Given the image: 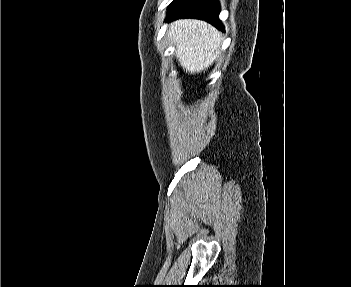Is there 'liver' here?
I'll use <instances>...</instances> for the list:
<instances>
[{
    "label": "liver",
    "instance_id": "obj_1",
    "mask_svg": "<svg viewBox=\"0 0 351 287\" xmlns=\"http://www.w3.org/2000/svg\"><path fill=\"white\" fill-rule=\"evenodd\" d=\"M167 36L176 46L180 65L191 74L208 69L218 58L222 36L205 21L180 19L170 24Z\"/></svg>",
    "mask_w": 351,
    "mask_h": 287
}]
</instances>
